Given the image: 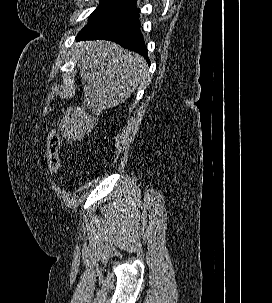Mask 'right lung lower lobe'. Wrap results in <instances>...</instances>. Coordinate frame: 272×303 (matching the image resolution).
<instances>
[{
  "label": "right lung lower lobe",
  "mask_w": 272,
  "mask_h": 303,
  "mask_svg": "<svg viewBox=\"0 0 272 303\" xmlns=\"http://www.w3.org/2000/svg\"><path fill=\"white\" fill-rule=\"evenodd\" d=\"M139 13L122 20L103 25L90 32L79 33L77 40H110L126 49L143 55L149 62L147 48L139 28Z\"/></svg>",
  "instance_id": "98d812e1"
}]
</instances>
